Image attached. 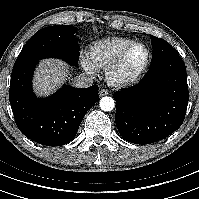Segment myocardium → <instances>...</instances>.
I'll return each mask as SVG.
<instances>
[{
	"label": "myocardium",
	"instance_id": "f54148a6",
	"mask_svg": "<svg viewBox=\"0 0 199 199\" xmlns=\"http://www.w3.org/2000/svg\"><path fill=\"white\" fill-rule=\"evenodd\" d=\"M136 47H142L145 50V59L140 69L130 77L119 75L120 69L129 54ZM151 62V52L147 45L141 42H134L123 49L116 59L105 69L106 81L109 85L117 88H127L137 84L147 72Z\"/></svg>",
	"mask_w": 199,
	"mask_h": 199
}]
</instances>
